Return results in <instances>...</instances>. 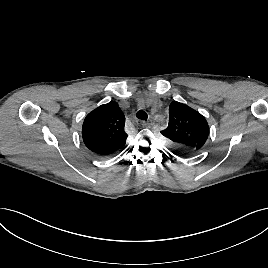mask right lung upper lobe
I'll use <instances>...</instances> for the list:
<instances>
[{
	"label": "right lung upper lobe",
	"instance_id": "cb5924a9",
	"mask_svg": "<svg viewBox=\"0 0 268 268\" xmlns=\"http://www.w3.org/2000/svg\"><path fill=\"white\" fill-rule=\"evenodd\" d=\"M125 116L118 104H103L84 119L82 138L86 147L99 156L108 157L122 148L127 139Z\"/></svg>",
	"mask_w": 268,
	"mask_h": 268
}]
</instances>
